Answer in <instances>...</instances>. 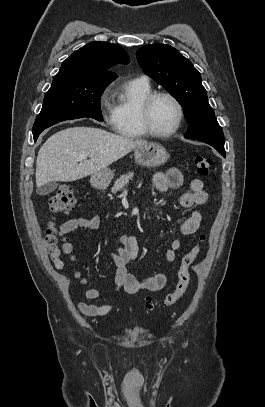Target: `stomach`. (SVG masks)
I'll return each instance as SVG.
<instances>
[{"mask_svg": "<svg viewBox=\"0 0 265 407\" xmlns=\"http://www.w3.org/2000/svg\"><path fill=\"white\" fill-rule=\"evenodd\" d=\"M137 163L145 167H158L169 159L166 149L158 143H145L137 146L134 151ZM113 179V172L109 168L95 172L90 177L91 184L96 188H106Z\"/></svg>", "mask_w": 265, "mask_h": 407, "instance_id": "1", "label": "stomach"}]
</instances>
